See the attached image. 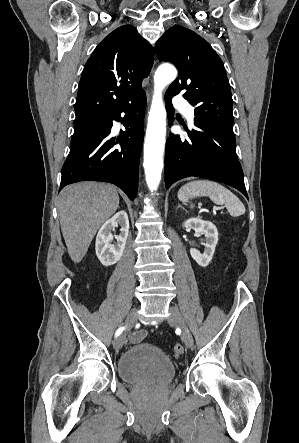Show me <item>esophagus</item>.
<instances>
[{
	"label": "esophagus",
	"mask_w": 299,
	"mask_h": 443,
	"mask_svg": "<svg viewBox=\"0 0 299 443\" xmlns=\"http://www.w3.org/2000/svg\"><path fill=\"white\" fill-rule=\"evenodd\" d=\"M150 99V92L147 93V100L149 101Z\"/></svg>",
	"instance_id": "34e87169"
}]
</instances>
